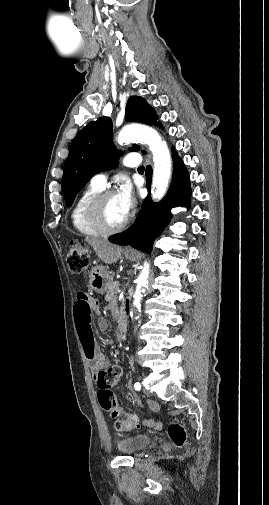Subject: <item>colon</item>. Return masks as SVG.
<instances>
[{"label":"colon","mask_w":269,"mask_h":505,"mask_svg":"<svg viewBox=\"0 0 269 505\" xmlns=\"http://www.w3.org/2000/svg\"><path fill=\"white\" fill-rule=\"evenodd\" d=\"M89 262L88 249L79 243H71L67 254V264L70 271L79 274L88 268ZM119 377V371L115 367L104 369L98 373L96 378L99 387L98 400L103 410L110 412L113 417H118L114 423L115 429L121 432H129L137 426L138 419L133 414L122 415L117 409L112 388L117 384ZM168 434L176 446L181 447L185 444L187 434L183 425L171 423L168 426Z\"/></svg>","instance_id":"5ec220e1"}]
</instances>
